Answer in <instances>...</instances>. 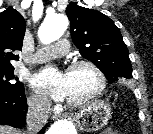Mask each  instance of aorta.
<instances>
[{"instance_id":"1","label":"aorta","mask_w":153,"mask_h":134,"mask_svg":"<svg viewBox=\"0 0 153 134\" xmlns=\"http://www.w3.org/2000/svg\"><path fill=\"white\" fill-rule=\"evenodd\" d=\"M68 27V19L63 14L48 16L39 28L38 36L42 43L49 44L59 39ZM48 134H77L75 126L67 121L56 122L48 131Z\"/></svg>"}]
</instances>
